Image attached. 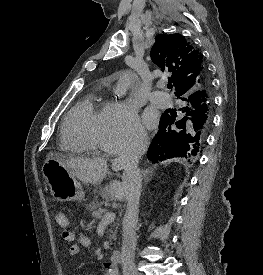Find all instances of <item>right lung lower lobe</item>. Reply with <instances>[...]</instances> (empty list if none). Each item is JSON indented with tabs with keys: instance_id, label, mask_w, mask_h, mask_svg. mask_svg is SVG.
Returning <instances> with one entry per match:
<instances>
[{
	"instance_id": "1",
	"label": "right lung lower lobe",
	"mask_w": 263,
	"mask_h": 275,
	"mask_svg": "<svg viewBox=\"0 0 263 275\" xmlns=\"http://www.w3.org/2000/svg\"><path fill=\"white\" fill-rule=\"evenodd\" d=\"M205 77L208 82L207 72ZM207 88H200L195 92L180 96L183 101L180 108L184 117L175 122V116L163 114L160 120L159 131L148 148V158L153 162L163 161L173 157L195 156L204 143L211 122L205 113Z\"/></svg>"
}]
</instances>
